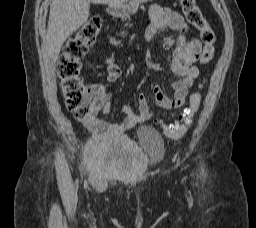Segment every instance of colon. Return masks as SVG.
<instances>
[{"instance_id":"obj_1","label":"colon","mask_w":256,"mask_h":228,"mask_svg":"<svg viewBox=\"0 0 256 228\" xmlns=\"http://www.w3.org/2000/svg\"><path fill=\"white\" fill-rule=\"evenodd\" d=\"M182 11L187 21L200 32L203 51L200 62L208 63L214 58L215 33L196 4V0H180ZM102 28L99 15L91 16L87 22L69 38L63 47L58 60L60 88L68 111L78 120H88L95 116L99 109L98 97L87 88L82 80V60L90 47L95 43ZM201 102V94L194 92L185 113L176 123H163L165 134L173 139H179L186 134Z\"/></svg>"}]
</instances>
